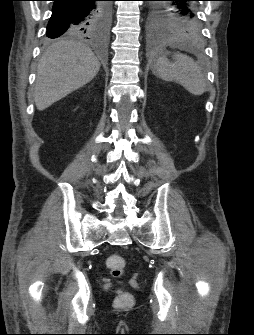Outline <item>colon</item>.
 Segmentation results:
<instances>
[{
	"label": "colon",
	"instance_id": "1",
	"mask_svg": "<svg viewBox=\"0 0 254 335\" xmlns=\"http://www.w3.org/2000/svg\"><path fill=\"white\" fill-rule=\"evenodd\" d=\"M106 265L114 278H120L125 272L126 263L122 256L111 254L106 260ZM115 304L120 307H127L133 304V297L129 292L118 291Z\"/></svg>",
	"mask_w": 254,
	"mask_h": 335
}]
</instances>
